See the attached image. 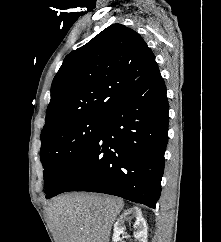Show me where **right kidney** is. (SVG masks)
Listing matches in <instances>:
<instances>
[{"label":"right kidney","mask_w":221,"mask_h":242,"mask_svg":"<svg viewBox=\"0 0 221 242\" xmlns=\"http://www.w3.org/2000/svg\"><path fill=\"white\" fill-rule=\"evenodd\" d=\"M132 214L135 217V233L134 237L138 240V242H147V224L145 219L142 216V212L138 207H133L124 211V213L117 219L114 224V233L112 237L113 242L120 241V235L124 231L123 223L126 217Z\"/></svg>","instance_id":"right-kidney-1"}]
</instances>
